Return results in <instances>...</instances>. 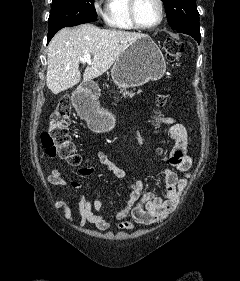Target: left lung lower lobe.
<instances>
[{"mask_svg": "<svg viewBox=\"0 0 240 281\" xmlns=\"http://www.w3.org/2000/svg\"><path fill=\"white\" fill-rule=\"evenodd\" d=\"M177 31L192 36L198 43H200L201 40L200 29L196 31L188 30V29H179Z\"/></svg>", "mask_w": 240, "mask_h": 281, "instance_id": "1", "label": "left lung lower lobe"}]
</instances>
